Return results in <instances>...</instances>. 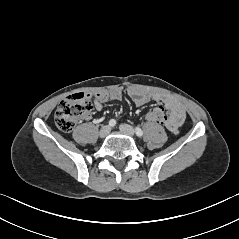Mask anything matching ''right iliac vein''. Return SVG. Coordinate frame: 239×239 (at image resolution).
<instances>
[{
    "mask_svg": "<svg viewBox=\"0 0 239 239\" xmlns=\"http://www.w3.org/2000/svg\"><path fill=\"white\" fill-rule=\"evenodd\" d=\"M111 131V128L109 126H104L101 128L100 132H99V136L101 138H105Z\"/></svg>",
    "mask_w": 239,
    "mask_h": 239,
    "instance_id": "right-iliac-vein-1",
    "label": "right iliac vein"
}]
</instances>
